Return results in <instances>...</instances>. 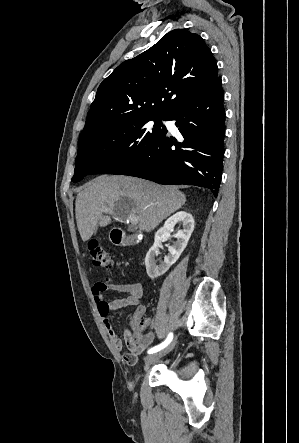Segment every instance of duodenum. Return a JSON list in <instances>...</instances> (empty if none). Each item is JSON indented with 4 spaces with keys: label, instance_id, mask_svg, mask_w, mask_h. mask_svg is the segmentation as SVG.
Listing matches in <instances>:
<instances>
[{
    "label": "duodenum",
    "instance_id": "duodenum-1",
    "mask_svg": "<svg viewBox=\"0 0 299 443\" xmlns=\"http://www.w3.org/2000/svg\"><path fill=\"white\" fill-rule=\"evenodd\" d=\"M111 239L113 243L121 246L128 245V241L126 240V234L123 230L115 228L111 232Z\"/></svg>",
    "mask_w": 299,
    "mask_h": 443
}]
</instances>
